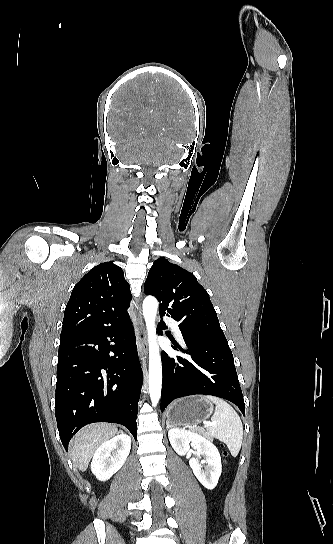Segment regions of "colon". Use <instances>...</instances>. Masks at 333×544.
I'll use <instances>...</instances> for the list:
<instances>
[{"mask_svg": "<svg viewBox=\"0 0 333 544\" xmlns=\"http://www.w3.org/2000/svg\"><path fill=\"white\" fill-rule=\"evenodd\" d=\"M223 447V446H222ZM227 455V452L226 451H223V456H226Z\"/></svg>", "mask_w": 333, "mask_h": 544, "instance_id": "1", "label": "colon"}]
</instances>
